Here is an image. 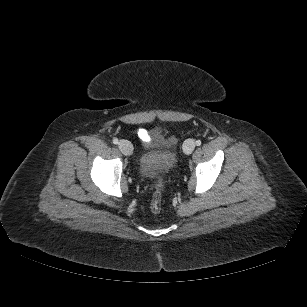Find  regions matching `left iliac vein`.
I'll use <instances>...</instances> for the list:
<instances>
[{
    "instance_id": "obj_1",
    "label": "left iliac vein",
    "mask_w": 307,
    "mask_h": 307,
    "mask_svg": "<svg viewBox=\"0 0 307 307\" xmlns=\"http://www.w3.org/2000/svg\"><path fill=\"white\" fill-rule=\"evenodd\" d=\"M194 148H195V142L193 139H187L183 144V151L187 155L191 154Z\"/></svg>"
}]
</instances>
